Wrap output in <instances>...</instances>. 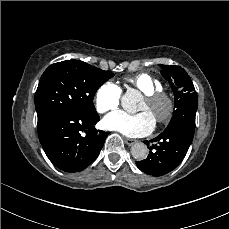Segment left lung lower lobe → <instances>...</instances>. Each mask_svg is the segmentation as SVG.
<instances>
[{"mask_svg": "<svg viewBox=\"0 0 229 229\" xmlns=\"http://www.w3.org/2000/svg\"><path fill=\"white\" fill-rule=\"evenodd\" d=\"M193 136L185 129H165L159 136L151 140L158 141L152 145L147 159L136 162L137 167L152 176H161L174 170L184 159ZM149 146L148 141H144ZM151 149V148H150Z\"/></svg>", "mask_w": 229, "mask_h": 229, "instance_id": "1", "label": "left lung lower lobe"}]
</instances>
